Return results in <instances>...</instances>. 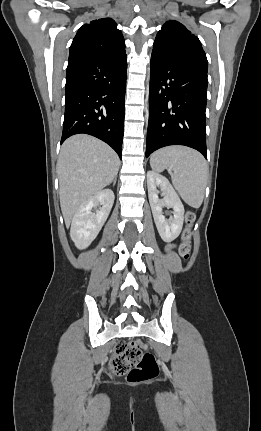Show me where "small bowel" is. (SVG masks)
<instances>
[{"mask_svg":"<svg viewBox=\"0 0 261 431\" xmlns=\"http://www.w3.org/2000/svg\"><path fill=\"white\" fill-rule=\"evenodd\" d=\"M172 247H173L172 245H169V246L167 247V249H168V250H170Z\"/></svg>","mask_w":261,"mask_h":431,"instance_id":"1","label":"small bowel"}]
</instances>
